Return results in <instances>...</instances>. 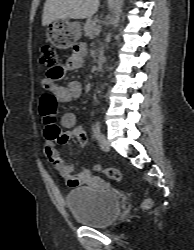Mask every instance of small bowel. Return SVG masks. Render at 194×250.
Returning <instances> with one entry per match:
<instances>
[{"mask_svg": "<svg viewBox=\"0 0 194 250\" xmlns=\"http://www.w3.org/2000/svg\"><path fill=\"white\" fill-rule=\"evenodd\" d=\"M87 52L85 44H79L74 48L73 55L68 59L65 66L60 67L61 73L66 70H75L83 65V57ZM43 86L47 88L55 96L56 101L68 103L77 100L82 95V84L79 81H73L69 85L64 86L56 83L51 77L43 80ZM44 122L43 136L45 139V154L52 167L66 180L70 187H77L92 181V174L83 167L78 174L74 173V166L68 163L63 156L56 150L55 143L66 144L72 137L71 131L61 133L59 127L55 123L56 113L53 115L41 114ZM62 125L71 130L76 124V116L72 113H65L61 117ZM82 141L87 142L86 133L82 134Z\"/></svg>", "mask_w": 194, "mask_h": 250, "instance_id": "small-bowel-1", "label": "small bowel"}]
</instances>
